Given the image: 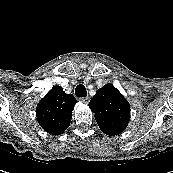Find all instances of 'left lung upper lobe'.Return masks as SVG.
Segmentation results:
<instances>
[{"label": "left lung upper lobe", "instance_id": "5c2ea615", "mask_svg": "<svg viewBox=\"0 0 173 173\" xmlns=\"http://www.w3.org/2000/svg\"><path fill=\"white\" fill-rule=\"evenodd\" d=\"M89 107L95 113L99 128L107 135L120 134L129 123L130 105L110 83L98 89Z\"/></svg>", "mask_w": 173, "mask_h": 173}]
</instances>
